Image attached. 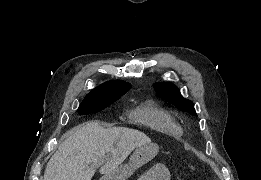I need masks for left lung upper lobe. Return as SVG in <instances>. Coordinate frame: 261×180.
Masks as SVG:
<instances>
[{
  "label": "left lung upper lobe",
  "mask_w": 261,
  "mask_h": 180,
  "mask_svg": "<svg viewBox=\"0 0 261 180\" xmlns=\"http://www.w3.org/2000/svg\"><path fill=\"white\" fill-rule=\"evenodd\" d=\"M155 90L161 98L167 102L180 107L191 115H196L194 105L190 100L182 97L176 86L171 83H155Z\"/></svg>",
  "instance_id": "5c2ea615"
}]
</instances>
